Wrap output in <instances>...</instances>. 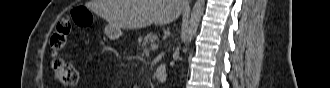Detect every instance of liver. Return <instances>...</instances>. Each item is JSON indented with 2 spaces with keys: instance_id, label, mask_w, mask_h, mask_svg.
Returning a JSON list of instances; mask_svg holds the SVG:
<instances>
[{
  "instance_id": "obj_1",
  "label": "liver",
  "mask_w": 330,
  "mask_h": 88,
  "mask_svg": "<svg viewBox=\"0 0 330 88\" xmlns=\"http://www.w3.org/2000/svg\"><path fill=\"white\" fill-rule=\"evenodd\" d=\"M186 5L182 0H99L97 12L110 25L138 29L152 23L169 24L181 15Z\"/></svg>"
}]
</instances>
